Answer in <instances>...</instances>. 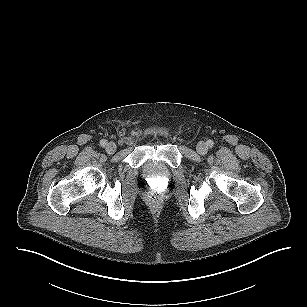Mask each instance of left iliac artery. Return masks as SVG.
Masks as SVG:
<instances>
[{
    "instance_id": "obj_1",
    "label": "left iliac artery",
    "mask_w": 307,
    "mask_h": 307,
    "mask_svg": "<svg viewBox=\"0 0 307 307\" xmlns=\"http://www.w3.org/2000/svg\"><path fill=\"white\" fill-rule=\"evenodd\" d=\"M213 145H214V142H213L212 140H208V141H207V146H208V147L212 148Z\"/></svg>"
}]
</instances>
